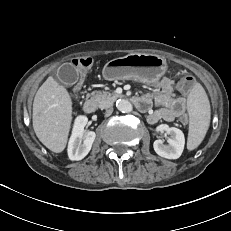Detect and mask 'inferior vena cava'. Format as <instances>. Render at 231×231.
Here are the masks:
<instances>
[{
  "mask_svg": "<svg viewBox=\"0 0 231 231\" xmlns=\"http://www.w3.org/2000/svg\"><path fill=\"white\" fill-rule=\"evenodd\" d=\"M112 112H113V109H112V108H109V109L106 110L105 115H106V116H110V115L112 114Z\"/></svg>",
  "mask_w": 231,
  "mask_h": 231,
  "instance_id": "1",
  "label": "inferior vena cava"
}]
</instances>
